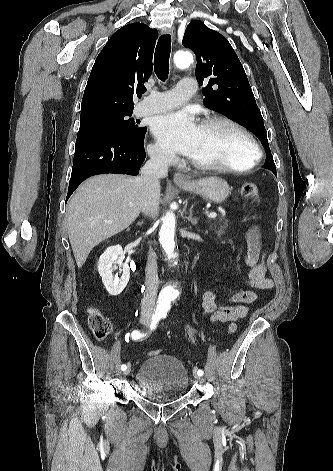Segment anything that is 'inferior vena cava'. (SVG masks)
I'll list each match as a JSON object with an SVG mask.
<instances>
[{"mask_svg":"<svg viewBox=\"0 0 333 471\" xmlns=\"http://www.w3.org/2000/svg\"><path fill=\"white\" fill-rule=\"evenodd\" d=\"M140 183L142 186L141 211L154 218L159 208V180L168 175V154L161 150L150 153V159L141 168ZM146 290L142 299V313L152 314L158 290V273L156 255L150 249L145 268Z\"/></svg>","mask_w":333,"mask_h":471,"instance_id":"inferior-vena-cava-1","label":"inferior vena cava"}]
</instances>
